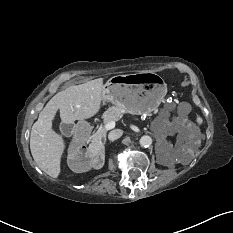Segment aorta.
<instances>
[{"instance_id":"obj_1","label":"aorta","mask_w":233,"mask_h":233,"mask_svg":"<svg viewBox=\"0 0 233 233\" xmlns=\"http://www.w3.org/2000/svg\"><path fill=\"white\" fill-rule=\"evenodd\" d=\"M139 143L142 147L147 148L152 144V138L148 135H144L140 138Z\"/></svg>"}]
</instances>
